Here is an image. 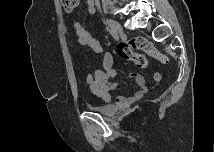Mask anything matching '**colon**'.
<instances>
[{"label": "colon", "mask_w": 215, "mask_h": 152, "mask_svg": "<svg viewBox=\"0 0 215 152\" xmlns=\"http://www.w3.org/2000/svg\"><path fill=\"white\" fill-rule=\"evenodd\" d=\"M77 3V0H64L63 5L65 11L72 12L76 8ZM133 49L142 50L163 63L167 61V57L163 53L155 48L148 40L141 37L132 38L128 41L120 42L117 45V51L120 57L134 62L138 67L145 68L148 65L147 58L142 54L133 52Z\"/></svg>", "instance_id": "1"}]
</instances>
